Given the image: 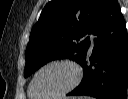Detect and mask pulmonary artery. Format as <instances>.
Returning <instances> with one entry per match:
<instances>
[{
	"label": "pulmonary artery",
	"instance_id": "pulmonary-artery-1",
	"mask_svg": "<svg viewBox=\"0 0 128 99\" xmlns=\"http://www.w3.org/2000/svg\"><path fill=\"white\" fill-rule=\"evenodd\" d=\"M90 43H91V47H93L94 42H93V36L92 35H90Z\"/></svg>",
	"mask_w": 128,
	"mask_h": 99
}]
</instances>
